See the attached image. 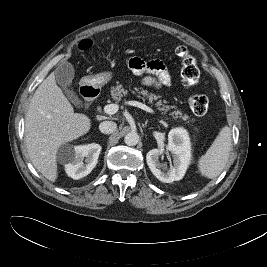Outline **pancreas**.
Instances as JSON below:
<instances>
[{"mask_svg": "<svg viewBox=\"0 0 267 267\" xmlns=\"http://www.w3.org/2000/svg\"><path fill=\"white\" fill-rule=\"evenodd\" d=\"M135 91L139 94L138 97H140V94H142L143 97L148 98L150 103H153V100L157 101L161 97L160 95L148 93L147 90H143V89L141 91H139L138 88H135ZM135 91L133 90L132 93H135ZM127 94H128V90L124 89L121 84H118L116 87L111 88V96H112L113 100H115L117 102L121 101L122 97L126 96ZM163 103H167V101L159 100L156 103L157 109L166 112L170 109L176 108L175 106L163 105ZM172 116L174 119H182L183 121H186L187 123L193 122V120H190L189 116H187L185 114L183 115L182 111H179V110L172 112ZM194 130L197 131L198 129L194 128Z\"/></svg>", "mask_w": 267, "mask_h": 267, "instance_id": "1", "label": "pancreas"}]
</instances>
